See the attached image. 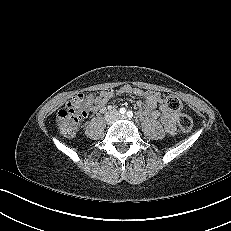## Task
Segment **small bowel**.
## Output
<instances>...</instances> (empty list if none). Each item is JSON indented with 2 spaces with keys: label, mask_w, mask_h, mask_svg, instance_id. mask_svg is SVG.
I'll return each instance as SVG.
<instances>
[{
  "label": "small bowel",
  "mask_w": 231,
  "mask_h": 231,
  "mask_svg": "<svg viewBox=\"0 0 231 231\" xmlns=\"http://www.w3.org/2000/svg\"><path fill=\"white\" fill-rule=\"evenodd\" d=\"M118 93L134 94L136 96L144 97V102L138 101L136 104L137 114L139 117L151 118L160 120L167 133L173 135L176 132V121L180 114L177 111H172L166 105L165 99L160 93L144 91L142 89L132 87L131 85H124ZM114 96L111 90L101 91L98 95H82L78 97L80 108L85 112L93 113L104 112L108 101Z\"/></svg>",
  "instance_id": "small-bowel-1"
}]
</instances>
